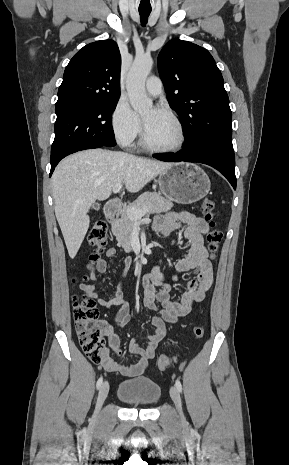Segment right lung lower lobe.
<instances>
[{
    "instance_id": "98d812e1",
    "label": "right lung lower lobe",
    "mask_w": 289,
    "mask_h": 465,
    "mask_svg": "<svg viewBox=\"0 0 289 465\" xmlns=\"http://www.w3.org/2000/svg\"><path fill=\"white\" fill-rule=\"evenodd\" d=\"M106 146L105 144L101 143V142H98V141H93V142H87L81 146H79L76 150H74L72 153L74 152H77V151H81V150H85V149H91V148H100V147H104ZM71 154V153H70ZM64 158V157H63ZM63 158H60L56 161H53L51 162V171H50V176L52 175L55 167L57 166V164L59 163V161Z\"/></svg>"
}]
</instances>
